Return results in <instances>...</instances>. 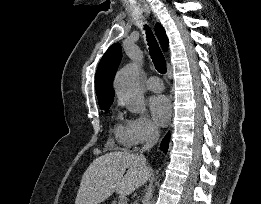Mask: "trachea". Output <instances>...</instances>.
<instances>
[{"label":"trachea","instance_id":"3493384b","mask_svg":"<svg viewBox=\"0 0 261 204\" xmlns=\"http://www.w3.org/2000/svg\"><path fill=\"white\" fill-rule=\"evenodd\" d=\"M145 30H146V37L149 45V51L154 66L159 73L164 74L166 73V60L164 58V55L161 52L159 45L156 41V38L154 37L151 29L148 26H145Z\"/></svg>","mask_w":261,"mask_h":204}]
</instances>
